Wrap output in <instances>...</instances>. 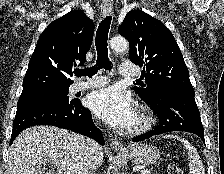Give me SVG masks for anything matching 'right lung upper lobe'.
Returning a JSON list of instances; mask_svg holds the SVG:
<instances>
[{"label": "right lung upper lobe", "instance_id": "right-lung-upper-lobe-1", "mask_svg": "<svg viewBox=\"0 0 224 174\" xmlns=\"http://www.w3.org/2000/svg\"><path fill=\"white\" fill-rule=\"evenodd\" d=\"M94 23L83 11H71L53 21L40 36L23 80L22 94L47 85H71L72 68L83 64Z\"/></svg>", "mask_w": 224, "mask_h": 174}]
</instances>
